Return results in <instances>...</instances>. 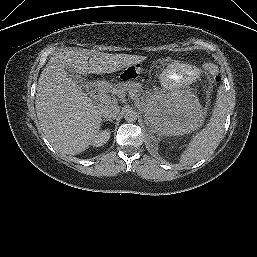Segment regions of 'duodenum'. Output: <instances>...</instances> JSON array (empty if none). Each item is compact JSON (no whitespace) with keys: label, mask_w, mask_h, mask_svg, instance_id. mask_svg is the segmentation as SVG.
Here are the masks:
<instances>
[{"label":"duodenum","mask_w":257,"mask_h":257,"mask_svg":"<svg viewBox=\"0 0 257 257\" xmlns=\"http://www.w3.org/2000/svg\"><path fill=\"white\" fill-rule=\"evenodd\" d=\"M98 91V85L93 83V84H90L87 88V94L90 96V97H93L96 92Z\"/></svg>","instance_id":"410a0bca"}]
</instances>
